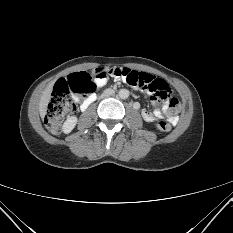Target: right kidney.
I'll use <instances>...</instances> for the list:
<instances>
[{
    "label": "right kidney",
    "instance_id": "1",
    "mask_svg": "<svg viewBox=\"0 0 233 233\" xmlns=\"http://www.w3.org/2000/svg\"><path fill=\"white\" fill-rule=\"evenodd\" d=\"M77 121H78V119L76 116L69 117L63 124L64 133H70L74 129V127L76 126Z\"/></svg>",
    "mask_w": 233,
    "mask_h": 233
}]
</instances>
